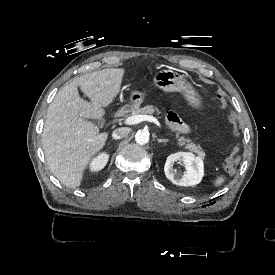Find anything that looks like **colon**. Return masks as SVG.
<instances>
[{"label":"colon","instance_id":"1","mask_svg":"<svg viewBox=\"0 0 275 275\" xmlns=\"http://www.w3.org/2000/svg\"><path fill=\"white\" fill-rule=\"evenodd\" d=\"M219 107L222 109L228 108V102L223 94H217ZM228 119L233 127V135L238 138L240 136L241 125L238 120L236 113L232 110L228 111ZM239 146H235L233 148L232 153L228 156V158L224 161V168L228 174H233L236 170L237 164L239 162Z\"/></svg>","mask_w":275,"mask_h":275}]
</instances>
